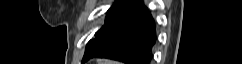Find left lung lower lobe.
I'll return each instance as SVG.
<instances>
[{"instance_id":"1","label":"left lung lower lobe","mask_w":242,"mask_h":64,"mask_svg":"<svg viewBox=\"0 0 242 64\" xmlns=\"http://www.w3.org/2000/svg\"><path fill=\"white\" fill-rule=\"evenodd\" d=\"M156 41L154 20L141 0H119L107 12L105 25L87 44L82 62L93 57L126 64H149Z\"/></svg>"}]
</instances>
